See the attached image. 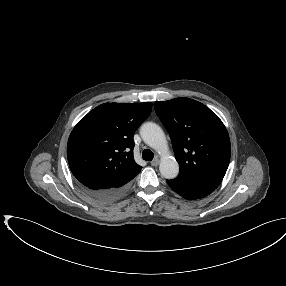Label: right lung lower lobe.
<instances>
[{
  "mask_svg": "<svg viewBox=\"0 0 286 286\" xmlns=\"http://www.w3.org/2000/svg\"><path fill=\"white\" fill-rule=\"evenodd\" d=\"M78 184L80 189L86 195L101 203L111 202L118 199L125 193L128 188V184L122 187H108L103 189H95L90 186H85L79 182Z\"/></svg>",
  "mask_w": 286,
  "mask_h": 286,
  "instance_id": "98d812e1",
  "label": "right lung lower lobe"
}]
</instances>
